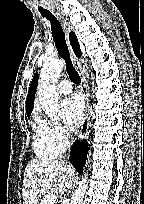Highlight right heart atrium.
<instances>
[{"mask_svg": "<svg viewBox=\"0 0 144 204\" xmlns=\"http://www.w3.org/2000/svg\"><path fill=\"white\" fill-rule=\"evenodd\" d=\"M48 136L51 142L61 151L69 145V135L67 131L57 122L45 121Z\"/></svg>", "mask_w": 144, "mask_h": 204, "instance_id": "right-heart-atrium-1", "label": "right heart atrium"}]
</instances>
